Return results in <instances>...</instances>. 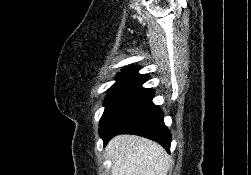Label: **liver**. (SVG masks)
Wrapping results in <instances>:
<instances>
[{"instance_id": "liver-1", "label": "liver", "mask_w": 251, "mask_h": 175, "mask_svg": "<svg viewBox=\"0 0 251 175\" xmlns=\"http://www.w3.org/2000/svg\"><path fill=\"white\" fill-rule=\"evenodd\" d=\"M106 151L112 159L111 175H167L170 167L164 147L139 135H116Z\"/></svg>"}]
</instances>
